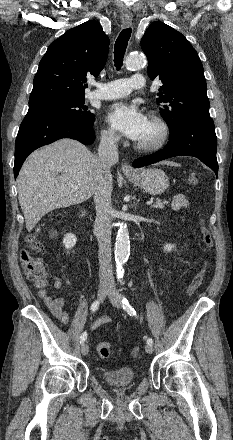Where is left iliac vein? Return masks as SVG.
<instances>
[{
    "label": "left iliac vein",
    "mask_w": 233,
    "mask_h": 440,
    "mask_svg": "<svg viewBox=\"0 0 233 440\" xmlns=\"http://www.w3.org/2000/svg\"><path fill=\"white\" fill-rule=\"evenodd\" d=\"M108 297H109L111 303L113 304V306H115L117 308L122 307V297L120 296L119 292L117 291V289L115 288L114 285L110 286V289L108 291ZM145 351L149 354L153 353V346L150 344H147L145 346Z\"/></svg>",
    "instance_id": "1"
}]
</instances>
